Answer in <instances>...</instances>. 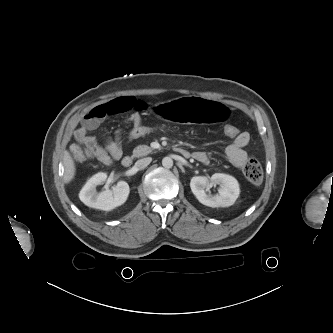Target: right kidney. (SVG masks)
<instances>
[{
  "label": "right kidney",
  "instance_id": "1",
  "mask_svg": "<svg viewBox=\"0 0 333 333\" xmlns=\"http://www.w3.org/2000/svg\"><path fill=\"white\" fill-rule=\"evenodd\" d=\"M107 177V173L100 172L86 182L79 193L80 200L86 206L110 211L126 202L130 189L124 181L118 182L112 190L106 189L97 193L96 186L104 183Z\"/></svg>",
  "mask_w": 333,
  "mask_h": 333
}]
</instances>
